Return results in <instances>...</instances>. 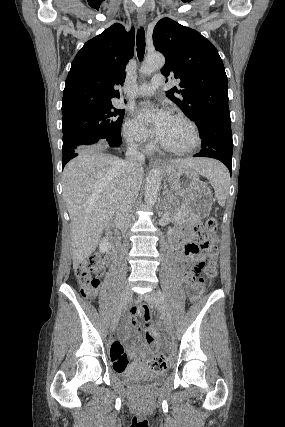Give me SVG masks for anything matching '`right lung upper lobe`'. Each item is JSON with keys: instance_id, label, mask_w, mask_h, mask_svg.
I'll return each mask as SVG.
<instances>
[{"instance_id": "1", "label": "right lung upper lobe", "mask_w": 285, "mask_h": 427, "mask_svg": "<svg viewBox=\"0 0 285 427\" xmlns=\"http://www.w3.org/2000/svg\"><path fill=\"white\" fill-rule=\"evenodd\" d=\"M134 50V29L115 23L87 41L72 61L62 100L63 117L112 104Z\"/></svg>"}]
</instances>
